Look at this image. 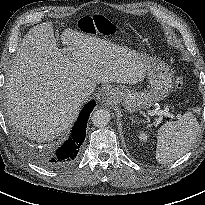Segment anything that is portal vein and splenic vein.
Listing matches in <instances>:
<instances>
[{
	"label": "portal vein and splenic vein",
	"mask_w": 205,
	"mask_h": 205,
	"mask_svg": "<svg viewBox=\"0 0 205 205\" xmlns=\"http://www.w3.org/2000/svg\"><path fill=\"white\" fill-rule=\"evenodd\" d=\"M151 113L156 114V115H160V116L164 115V116H167V117L172 118V119H175L177 117L174 114L168 112L167 110H159V111L155 110V111L150 112V114Z\"/></svg>",
	"instance_id": "portal-vein-and-splenic-vein-1"
}]
</instances>
